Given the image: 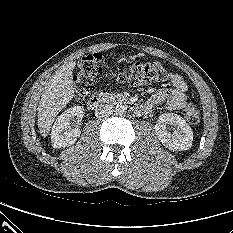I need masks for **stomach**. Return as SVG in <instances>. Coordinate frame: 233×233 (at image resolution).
Here are the masks:
<instances>
[{
  "label": "stomach",
  "mask_w": 233,
  "mask_h": 233,
  "mask_svg": "<svg viewBox=\"0 0 233 233\" xmlns=\"http://www.w3.org/2000/svg\"><path fill=\"white\" fill-rule=\"evenodd\" d=\"M132 58L129 56H127V57H124V61H127V62H130V60H131Z\"/></svg>",
  "instance_id": "1"
}]
</instances>
